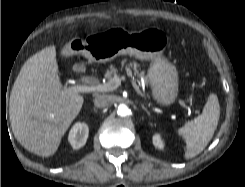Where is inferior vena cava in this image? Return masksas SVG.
I'll use <instances>...</instances> for the list:
<instances>
[{"instance_id": "602c4592", "label": "inferior vena cava", "mask_w": 245, "mask_h": 187, "mask_svg": "<svg viewBox=\"0 0 245 187\" xmlns=\"http://www.w3.org/2000/svg\"><path fill=\"white\" fill-rule=\"evenodd\" d=\"M111 100L108 95L99 94L95 97L94 103L96 107L103 108L110 104Z\"/></svg>"}]
</instances>
